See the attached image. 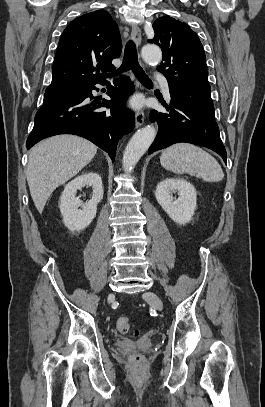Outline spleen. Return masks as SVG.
Listing matches in <instances>:
<instances>
[{
	"label": "spleen",
	"mask_w": 265,
	"mask_h": 407,
	"mask_svg": "<svg viewBox=\"0 0 265 407\" xmlns=\"http://www.w3.org/2000/svg\"><path fill=\"white\" fill-rule=\"evenodd\" d=\"M161 165L176 174L187 173L207 182H219L224 173L217 160L205 150L189 143H178L165 149Z\"/></svg>",
	"instance_id": "obj_1"
}]
</instances>
